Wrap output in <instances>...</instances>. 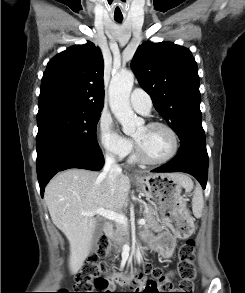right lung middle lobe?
<instances>
[{"label": "right lung middle lobe", "instance_id": "dd1d6c3e", "mask_svg": "<svg viewBox=\"0 0 245 293\" xmlns=\"http://www.w3.org/2000/svg\"><path fill=\"white\" fill-rule=\"evenodd\" d=\"M100 116L101 111L60 107L39 110L36 137L37 167L48 157L64 149L99 150L96 126Z\"/></svg>", "mask_w": 245, "mask_h": 293}]
</instances>
